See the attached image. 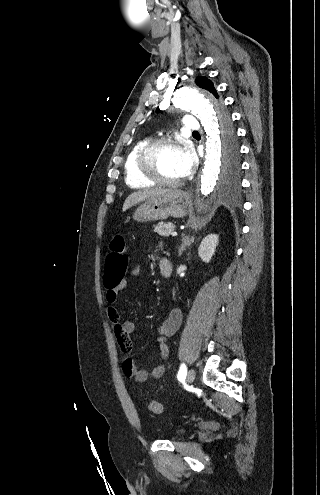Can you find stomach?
<instances>
[{"label":"stomach","mask_w":320,"mask_h":495,"mask_svg":"<svg viewBox=\"0 0 320 495\" xmlns=\"http://www.w3.org/2000/svg\"><path fill=\"white\" fill-rule=\"evenodd\" d=\"M188 199V195L180 189L169 190L138 207L133 214V219L138 222H148L169 217H184L189 210Z\"/></svg>","instance_id":"0dacf381"}]
</instances>
